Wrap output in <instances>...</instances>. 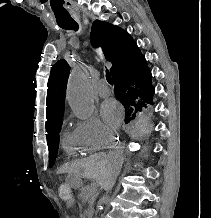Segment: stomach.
Segmentation results:
<instances>
[{"instance_id": "0dacf381", "label": "stomach", "mask_w": 211, "mask_h": 218, "mask_svg": "<svg viewBox=\"0 0 211 218\" xmlns=\"http://www.w3.org/2000/svg\"><path fill=\"white\" fill-rule=\"evenodd\" d=\"M67 181L72 188H80L83 185L81 178L74 173L68 175Z\"/></svg>"}]
</instances>
